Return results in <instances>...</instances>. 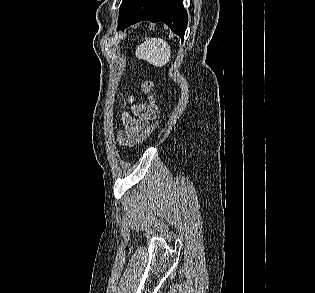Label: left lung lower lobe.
I'll return each instance as SVG.
<instances>
[{
    "label": "left lung lower lobe",
    "instance_id": "left-lung-lower-lobe-1",
    "mask_svg": "<svg viewBox=\"0 0 315 293\" xmlns=\"http://www.w3.org/2000/svg\"><path fill=\"white\" fill-rule=\"evenodd\" d=\"M143 20L162 21L183 39L188 17L182 0H140L119 21V27L123 29Z\"/></svg>",
    "mask_w": 315,
    "mask_h": 293
}]
</instances>
